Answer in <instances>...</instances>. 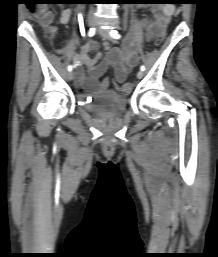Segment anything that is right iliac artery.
<instances>
[{"label": "right iliac artery", "mask_w": 218, "mask_h": 257, "mask_svg": "<svg viewBox=\"0 0 218 257\" xmlns=\"http://www.w3.org/2000/svg\"><path fill=\"white\" fill-rule=\"evenodd\" d=\"M95 32H96V29H95V28H90V30H89V32H88V36H89V37L94 36ZM68 71H69V72L72 71V66H71V65L68 66Z\"/></svg>", "instance_id": "right-iliac-artery-1"}]
</instances>
